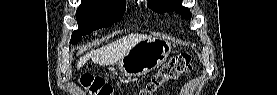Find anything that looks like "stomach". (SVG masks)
<instances>
[{
	"label": "stomach",
	"mask_w": 277,
	"mask_h": 95,
	"mask_svg": "<svg viewBox=\"0 0 277 95\" xmlns=\"http://www.w3.org/2000/svg\"><path fill=\"white\" fill-rule=\"evenodd\" d=\"M171 49L170 42L161 38L149 37L139 41L116 65L126 76H143L165 61Z\"/></svg>",
	"instance_id": "0dacf381"
}]
</instances>
